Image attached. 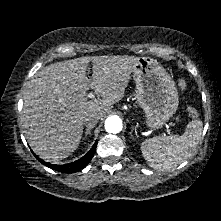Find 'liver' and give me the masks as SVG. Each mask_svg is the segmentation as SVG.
Listing matches in <instances>:
<instances>
[{"instance_id": "liver-1", "label": "liver", "mask_w": 221, "mask_h": 221, "mask_svg": "<svg viewBox=\"0 0 221 221\" xmlns=\"http://www.w3.org/2000/svg\"><path fill=\"white\" fill-rule=\"evenodd\" d=\"M137 61L127 55L80 57L38 71L25 91L21 117L32 150L50 162L71 155L82 138L83 117L101 118L122 100ZM89 62L93 74L88 78ZM89 88L102 98L88 100Z\"/></svg>"}]
</instances>
